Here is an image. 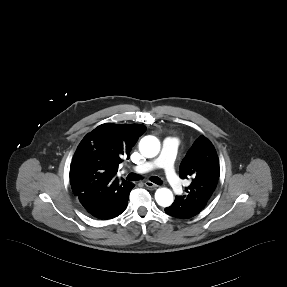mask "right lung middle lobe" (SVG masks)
I'll return each mask as SVG.
<instances>
[{"instance_id": "right-lung-middle-lobe-1", "label": "right lung middle lobe", "mask_w": 287, "mask_h": 287, "mask_svg": "<svg viewBox=\"0 0 287 287\" xmlns=\"http://www.w3.org/2000/svg\"><path fill=\"white\" fill-rule=\"evenodd\" d=\"M83 176L90 180H97L101 177L100 170L95 166H88L82 170Z\"/></svg>"}]
</instances>
